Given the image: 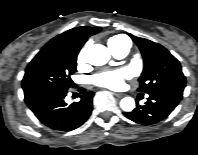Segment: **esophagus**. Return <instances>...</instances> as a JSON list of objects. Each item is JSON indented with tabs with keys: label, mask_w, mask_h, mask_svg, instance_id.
I'll return each mask as SVG.
<instances>
[{
	"label": "esophagus",
	"mask_w": 198,
	"mask_h": 155,
	"mask_svg": "<svg viewBox=\"0 0 198 155\" xmlns=\"http://www.w3.org/2000/svg\"><path fill=\"white\" fill-rule=\"evenodd\" d=\"M114 96L117 97V98H122L124 95L123 94L114 93Z\"/></svg>",
	"instance_id": "obj_1"
}]
</instances>
